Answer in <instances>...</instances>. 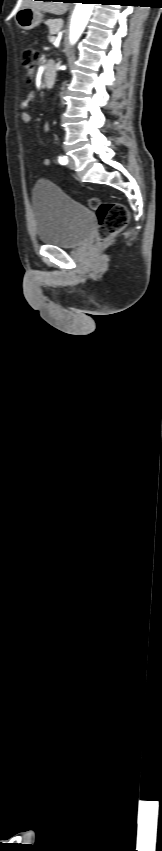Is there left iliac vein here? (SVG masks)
<instances>
[{
    "instance_id": "left-iliac-vein-1",
    "label": "left iliac vein",
    "mask_w": 162,
    "mask_h": 851,
    "mask_svg": "<svg viewBox=\"0 0 162 851\" xmlns=\"http://www.w3.org/2000/svg\"><path fill=\"white\" fill-rule=\"evenodd\" d=\"M68 167H69L70 169H72V170H74V169H75V161H74V159H73L72 157H69V158H68Z\"/></svg>"
}]
</instances>
